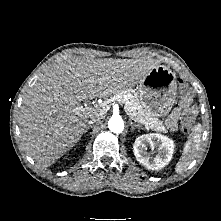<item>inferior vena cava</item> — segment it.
<instances>
[{
	"label": "inferior vena cava",
	"mask_w": 221,
	"mask_h": 221,
	"mask_svg": "<svg viewBox=\"0 0 221 221\" xmlns=\"http://www.w3.org/2000/svg\"><path fill=\"white\" fill-rule=\"evenodd\" d=\"M101 121V117L99 115L97 116H93L91 117V119L88 122V124H94L96 122H100Z\"/></svg>",
	"instance_id": "602c4592"
}]
</instances>
